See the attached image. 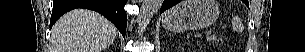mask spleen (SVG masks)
<instances>
[{
  "mask_svg": "<svg viewBox=\"0 0 305 52\" xmlns=\"http://www.w3.org/2000/svg\"><path fill=\"white\" fill-rule=\"evenodd\" d=\"M232 24H233V29L234 30H237L239 28V24H238V19L237 18H233Z\"/></svg>",
  "mask_w": 305,
  "mask_h": 52,
  "instance_id": "3e777b00",
  "label": "spleen"
}]
</instances>
